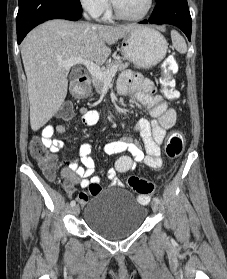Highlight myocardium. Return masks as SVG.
Returning a JSON list of instances; mask_svg holds the SVG:
<instances>
[{
    "label": "myocardium",
    "mask_w": 227,
    "mask_h": 279,
    "mask_svg": "<svg viewBox=\"0 0 227 279\" xmlns=\"http://www.w3.org/2000/svg\"><path fill=\"white\" fill-rule=\"evenodd\" d=\"M153 3H154V0H147V6H146L145 10L138 15H128V14L123 13L117 7V5L114 3V0H111V7H112L113 14L117 18L124 19V20H130V21H136V20H141V19L145 18L151 12V10L153 8Z\"/></svg>",
    "instance_id": "myocardium-1"
}]
</instances>
